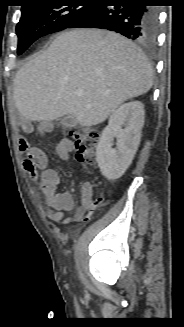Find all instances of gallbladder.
<instances>
[{
  "instance_id": "obj_1",
  "label": "gallbladder",
  "mask_w": 184,
  "mask_h": 327,
  "mask_svg": "<svg viewBox=\"0 0 184 327\" xmlns=\"http://www.w3.org/2000/svg\"><path fill=\"white\" fill-rule=\"evenodd\" d=\"M60 124L65 128H71V127L76 126L77 119L72 115H67L61 119Z\"/></svg>"
}]
</instances>
